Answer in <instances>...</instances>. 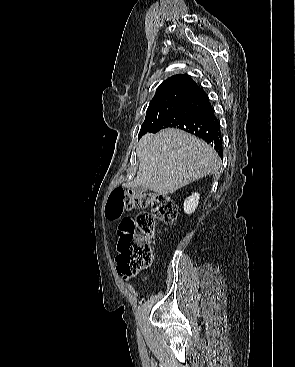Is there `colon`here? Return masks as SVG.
<instances>
[{
  "label": "colon",
  "mask_w": 295,
  "mask_h": 367,
  "mask_svg": "<svg viewBox=\"0 0 295 367\" xmlns=\"http://www.w3.org/2000/svg\"><path fill=\"white\" fill-rule=\"evenodd\" d=\"M151 207L150 213H140L134 219H122L118 228L117 270L129 276L151 265V239L156 222L171 224L177 217L176 202L169 196L156 193L134 194L115 188L109 197L106 215L118 219L125 211Z\"/></svg>",
  "instance_id": "5ec220e1"
}]
</instances>
